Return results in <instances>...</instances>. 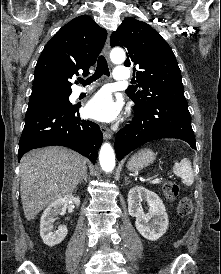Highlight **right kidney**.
Masks as SVG:
<instances>
[{"label":"right kidney","instance_id":"obj_1","mask_svg":"<svg viewBox=\"0 0 221 274\" xmlns=\"http://www.w3.org/2000/svg\"><path fill=\"white\" fill-rule=\"evenodd\" d=\"M69 204L80 205L79 197L72 194L66 195L52 202L43 212L40 220V236L43 242L53 247L64 240L68 233L67 226L61 225L58 230H53V224L57 215H64Z\"/></svg>","mask_w":221,"mask_h":274}]
</instances>
